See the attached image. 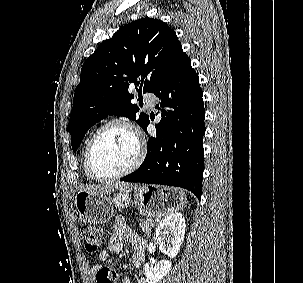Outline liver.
Instances as JSON below:
<instances>
[{
    "label": "liver",
    "mask_w": 303,
    "mask_h": 283,
    "mask_svg": "<svg viewBox=\"0 0 303 283\" xmlns=\"http://www.w3.org/2000/svg\"><path fill=\"white\" fill-rule=\"evenodd\" d=\"M135 185L126 183V182H107L105 184L101 185H86V186H81L79 188V191H84L88 194L91 195H101V194H107L111 193L114 191H120L123 189H128L132 188Z\"/></svg>",
    "instance_id": "1"
}]
</instances>
